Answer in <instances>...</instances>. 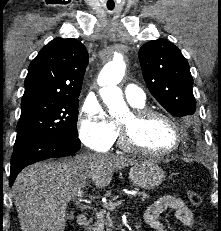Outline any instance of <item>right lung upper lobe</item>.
I'll use <instances>...</instances> for the list:
<instances>
[{"label":"right lung upper lobe","mask_w":221,"mask_h":231,"mask_svg":"<svg viewBox=\"0 0 221 231\" xmlns=\"http://www.w3.org/2000/svg\"><path fill=\"white\" fill-rule=\"evenodd\" d=\"M89 56L77 39L55 38L31 62L22 100L34 97L78 98Z\"/></svg>","instance_id":"1"}]
</instances>
